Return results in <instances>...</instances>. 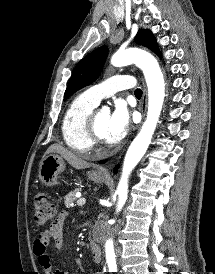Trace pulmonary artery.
Returning <instances> with one entry per match:
<instances>
[{
    "label": "pulmonary artery",
    "mask_w": 215,
    "mask_h": 274,
    "mask_svg": "<svg viewBox=\"0 0 215 274\" xmlns=\"http://www.w3.org/2000/svg\"><path fill=\"white\" fill-rule=\"evenodd\" d=\"M134 85L135 80L132 76L115 75L100 84L90 87L83 94L95 104H99L103 98L117 91L133 88Z\"/></svg>",
    "instance_id": "e3ab8cb5"
}]
</instances>
